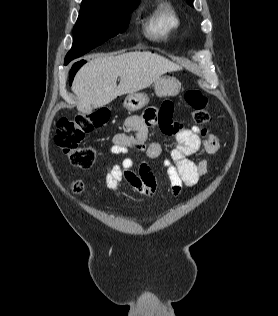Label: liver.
<instances>
[{"label":"liver","mask_w":278,"mask_h":316,"mask_svg":"<svg viewBox=\"0 0 278 316\" xmlns=\"http://www.w3.org/2000/svg\"><path fill=\"white\" fill-rule=\"evenodd\" d=\"M180 66L151 52H129L118 56H98L76 74L72 91L83 114L109 104L118 96L149 87L161 75L178 71ZM120 83L117 86V78Z\"/></svg>","instance_id":"1"}]
</instances>
